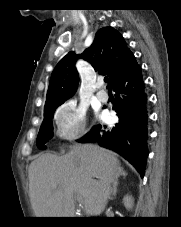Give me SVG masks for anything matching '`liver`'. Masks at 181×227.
I'll list each match as a JSON object with an SVG mask.
<instances>
[{"instance_id":"liver-1","label":"liver","mask_w":181,"mask_h":227,"mask_svg":"<svg viewBox=\"0 0 181 227\" xmlns=\"http://www.w3.org/2000/svg\"><path fill=\"white\" fill-rule=\"evenodd\" d=\"M116 155L92 144H75L63 156L42 154L29 167V196L36 217H74L75 202L99 215L119 175Z\"/></svg>"}]
</instances>
